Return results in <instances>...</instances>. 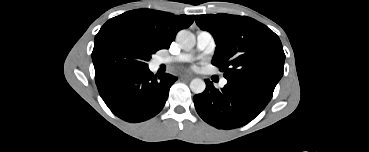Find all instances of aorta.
<instances>
[{
	"mask_svg": "<svg viewBox=\"0 0 369 152\" xmlns=\"http://www.w3.org/2000/svg\"><path fill=\"white\" fill-rule=\"evenodd\" d=\"M176 40L184 50H191L195 46V35L188 30H180L177 33ZM206 84L202 79L195 78L190 82V89L195 94L204 92Z\"/></svg>",
	"mask_w": 369,
	"mask_h": 152,
	"instance_id": "obj_1",
	"label": "aorta"
}]
</instances>
